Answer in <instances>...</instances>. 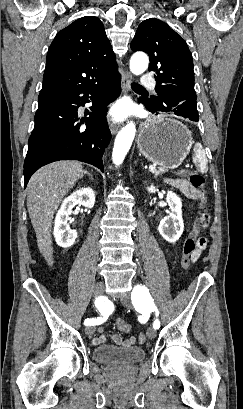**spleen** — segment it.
<instances>
[{"mask_svg": "<svg viewBox=\"0 0 243 409\" xmlns=\"http://www.w3.org/2000/svg\"><path fill=\"white\" fill-rule=\"evenodd\" d=\"M193 161L201 173H206L208 171V161L205 151L200 143L195 144Z\"/></svg>", "mask_w": 243, "mask_h": 409, "instance_id": "spleen-1", "label": "spleen"}]
</instances>
